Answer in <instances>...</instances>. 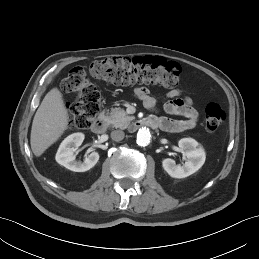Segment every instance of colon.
Returning a JSON list of instances; mask_svg holds the SVG:
<instances>
[{"label": "colon", "instance_id": "obj_1", "mask_svg": "<svg viewBox=\"0 0 259 259\" xmlns=\"http://www.w3.org/2000/svg\"><path fill=\"white\" fill-rule=\"evenodd\" d=\"M89 74L117 85L156 84L175 88L180 84L181 70L176 63L159 57H111L93 62ZM62 89L76 96L69 110V126L88 128L100 110L101 95L86 70L71 69L62 82ZM204 114L205 128L210 132L216 131L225 119L224 110L215 102L207 104Z\"/></svg>", "mask_w": 259, "mask_h": 259}]
</instances>
